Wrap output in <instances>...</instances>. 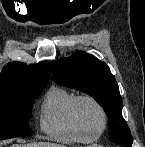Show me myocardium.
Masks as SVG:
<instances>
[{
    "label": "myocardium",
    "mask_w": 145,
    "mask_h": 147,
    "mask_svg": "<svg viewBox=\"0 0 145 147\" xmlns=\"http://www.w3.org/2000/svg\"><path fill=\"white\" fill-rule=\"evenodd\" d=\"M83 102L92 103L100 113V116L102 119V126H101L98 133L91 135L94 138H99L105 132L107 125H108L107 112H106L105 108L103 107V105L95 97H93L91 95H79L74 102L72 115H73V121H74L77 129L82 133L88 134V131L83 126V123H82L81 117H80V105Z\"/></svg>",
    "instance_id": "obj_1"
}]
</instances>
